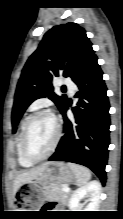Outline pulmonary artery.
Masks as SVG:
<instances>
[{
	"label": "pulmonary artery",
	"mask_w": 123,
	"mask_h": 219,
	"mask_svg": "<svg viewBox=\"0 0 123 219\" xmlns=\"http://www.w3.org/2000/svg\"><path fill=\"white\" fill-rule=\"evenodd\" d=\"M62 84L68 88V90L71 94H74V92L76 90V86L70 79H64L62 81Z\"/></svg>",
	"instance_id": "1"
}]
</instances>
